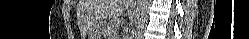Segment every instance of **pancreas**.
I'll use <instances>...</instances> for the list:
<instances>
[{
  "instance_id": "pancreas-1",
  "label": "pancreas",
  "mask_w": 249,
  "mask_h": 39,
  "mask_svg": "<svg viewBox=\"0 0 249 39\" xmlns=\"http://www.w3.org/2000/svg\"><path fill=\"white\" fill-rule=\"evenodd\" d=\"M120 25V22L118 19L111 20L104 28V34L108 38H113L117 36L118 34V26Z\"/></svg>"
}]
</instances>
